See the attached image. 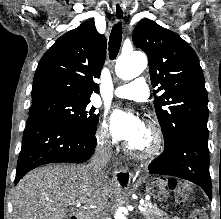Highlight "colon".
Wrapping results in <instances>:
<instances>
[{
  "mask_svg": "<svg viewBox=\"0 0 221 219\" xmlns=\"http://www.w3.org/2000/svg\"><path fill=\"white\" fill-rule=\"evenodd\" d=\"M186 191L187 188L184 185L179 184L176 186V195L180 201H183L185 199ZM189 219H207V216L202 211H196L190 215Z\"/></svg>",
  "mask_w": 221,
  "mask_h": 219,
  "instance_id": "colon-1",
  "label": "colon"
}]
</instances>
